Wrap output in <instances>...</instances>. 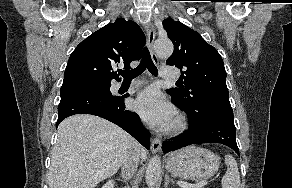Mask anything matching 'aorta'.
Instances as JSON below:
<instances>
[{"instance_id": "1", "label": "aorta", "mask_w": 292, "mask_h": 188, "mask_svg": "<svg viewBox=\"0 0 292 188\" xmlns=\"http://www.w3.org/2000/svg\"><path fill=\"white\" fill-rule=\"evenodd\" d=\"M154 49L160 58H168L173 53V44L169 39H158L155 41ZM161 173V160L160 157H153L146 168V183L149 188H153Z\"/></svg>"}]
</instances>
